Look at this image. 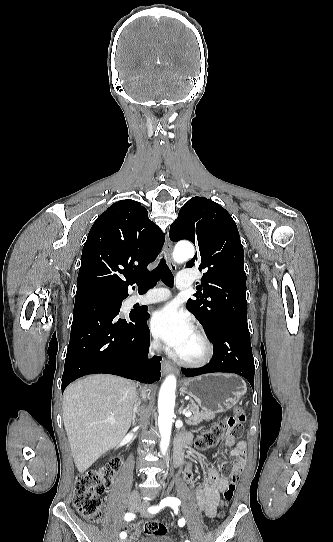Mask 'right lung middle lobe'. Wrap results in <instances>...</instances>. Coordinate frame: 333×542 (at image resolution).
Wrapping results in <instances>:
<instances>
[{
	"instance_id": "right-lung-middle-lobe-1",
	"label": "right lung middle lobe",
	"mask_w": 333,
	"mask_h": 542,
	"mask_svg": "<svg viewBox=\"0 0 333 542\" xmlns=\"http://www.w3.org/2000/svg\"><path fill=\"white\" fill-rule=\"evenodd\" d=\"M114 301H117V298H114Z\"/></svg>"
}]
</instances>
